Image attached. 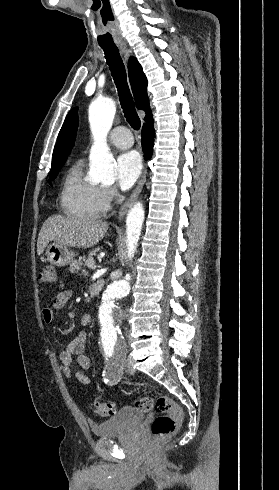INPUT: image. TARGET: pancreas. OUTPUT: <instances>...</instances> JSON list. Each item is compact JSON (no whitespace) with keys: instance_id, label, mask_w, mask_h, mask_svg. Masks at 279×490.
<instances>
[{"instance_id":"1","label":"pancreas","mask_w":279,"mask_h":490,"mask_svg":"<svg viewBox=\"0 0 279 490\" xmlns=\"http://www.w3.org/2000/svg\"><path fill=\"white\" fill-rule=\"evenodd\" d=\"M82 266H84L83 260H73L70 264L69 272H71V274H79L80 270H82ZM79 276H82V274H79Z\"/></svg>"}]
</instances>
